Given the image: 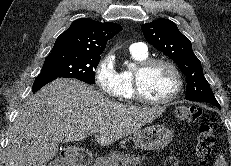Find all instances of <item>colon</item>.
<instances>
[{"label": "colon", "mask_w": 231, "mask_h": 166, "mask_svg": "<svg viewBox=\"0 0 231 166\" xmlns=\"http://www.w3.org/2000/svg\"><path fill=\"white\" fill-rule=\"evenodd\" d=\"M175 117L182 122L198 120L202 112L195 106L179 105L174 111ZM216 144L215 128L211 123L199 122V131L195 141V154L199 166H206L211 157ZM51 166H63L60 162L53 163ZM165 166H178V161L171 158L166 161Z\"/></svg>", "instance_id": "colon-1"}]
</instances>
